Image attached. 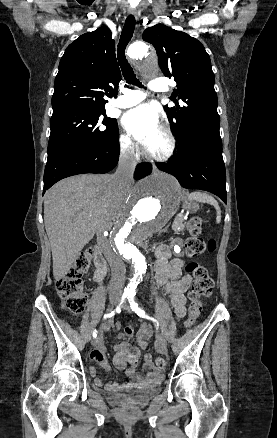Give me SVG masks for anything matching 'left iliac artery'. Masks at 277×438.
I'll return each mask as SVG.
<instances>
[{
    "label": "left iliac artery",
    "instance_id": "44dca946",
    "mask_svg": "<svg viewBox=\"0 0 277 438\" xmlns=\"http://www.w3.org/2000/svg\"><path fill=\"white\" fill-rule=\"evenodd\" d=\"M134 295H130L128 297L131 309L142 318H149V316L145 313L144 310L138 307V304L134 301Z\"/></svg>",
    "mask_w": 277,
    "mask_h": 438
}]
</instances>
